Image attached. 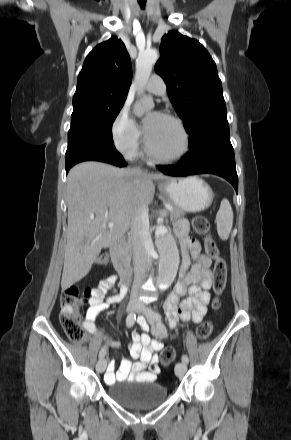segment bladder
Wrapping results in <instances>:
<instances>
[{
	"label": "bladder",
	"mask_w": 291,
	"mask_h": 440,
	"mask_svg": "<svg viewBox=\"0 0 291 440\" xmlns=\"http://www.w3.org/2000/svg\"><path fill=\"white\" fill-rule=\"evenodd\" d=\"M167 394L166 387L150 380L132 379L108 386L109 397L130 408L159 404L166 399Z\"/></svg>",
	"instance_id": "bladder-1"
}]
</instances>
